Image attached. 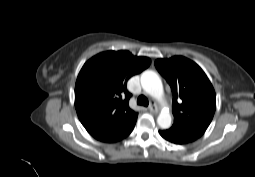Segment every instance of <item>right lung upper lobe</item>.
Returning a JSON list of instances; mask_svg holds the SVG:
<instances>
[{"instance_id":"obj_1","label":"right lung upper lobe","mask_w":255,"mask_h":177,"mask_svg":"<svg viewBox=\"0 0 255 177\" xmlns=\"http://www.w3.org/2000/svg\"><path fill=\"white\" fill-rule=\"evenodd\" d=\"M151 61L128 51H106L88 60L75 85V108L79 120L100 140L137 117L130 109L127 81L145 70Z\"/></svg>"}]
</instances>
